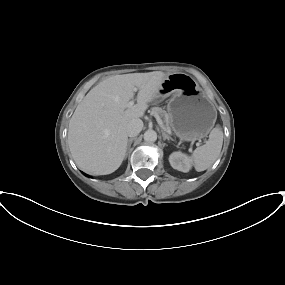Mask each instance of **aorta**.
Returning a JSON list of instances; mask_svg holds the SVG:
<instances>
[{
    "label": "aorta",
    "instance_id": "obj_1",
    "mask_svg": "<svg viewBox=\"0 0 285 285\" xmlns=\"http://www.w3.org/2000/svg\"><path fill=\"white\" fill-rule=\"evenodd\" d=\"M157 140V133L154 130H147L144 133V141L148 143H153Z\"/></svg>",
    "mask_w": 285,
    "mask_h": 285
}]
</instances>
